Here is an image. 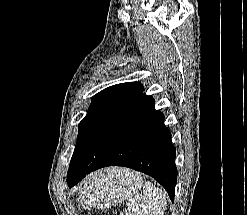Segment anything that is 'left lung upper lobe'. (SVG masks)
<instances>
[{
    "instance_id": "obj_1",
    "label": "left lung upper lobe",
    "mask_w": 247,
    "mask_h": 215,
    "mask_svg": "<svg viewBox=\"0 0 247 215\" xmlns=\"http://www.w3.org/2000/svg\"><path fill=\"white\" fill-rule=\"evenodd\" d=\"M142 92V84L127 82L110 86L93 96L87 115L79 123L74 153L83 141L97 140L105 133Z\"/></svg>"
}]
</instances>
